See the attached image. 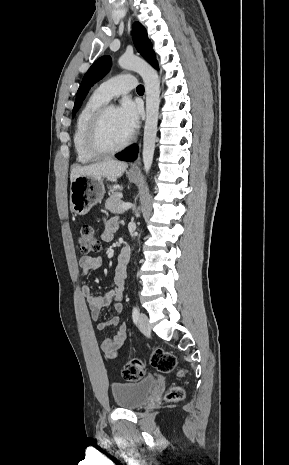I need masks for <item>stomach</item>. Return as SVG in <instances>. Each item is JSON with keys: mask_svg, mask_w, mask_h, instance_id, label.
<instances>
[{"mask_svg": "<svg viewBox=\"0 0 289 465\" xmlns=\"http://www.w3.org/2000/svg\"><path fill=\"white\" fill-rule=\"evenodd\" d=\"M131 182L139 180V174L127 173ZM105 194L104 180L96 176H80L71 181L70 207L77 215H85L96 204L100 203Z\"/></svg>", "mask_w": 289, "mask_h": 465, "instance_id": "1", "label": "stomach"}]
</instances>
